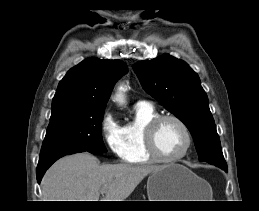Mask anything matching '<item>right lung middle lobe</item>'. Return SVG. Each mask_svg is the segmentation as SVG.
Returning <instances> with one entry per match:
<instances>
[{
	"mask_svg": "<svg viewBox=\"0 0 259 211\" xmlns=\"http://www.w3.org/2000/svg\"><path fill=\"white\" fill-rule=\"evenodd\" d=\"M104 110L75 108L51 117L39 160L69 150L107 152L101 135Z\"/></svg>",
	"mask_w": 259,
	"mask_h": 211,
	"instance_id": "obj_1",
	"label": "right lung middle lobe"
}]
</instances>
